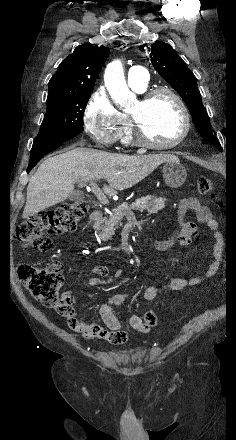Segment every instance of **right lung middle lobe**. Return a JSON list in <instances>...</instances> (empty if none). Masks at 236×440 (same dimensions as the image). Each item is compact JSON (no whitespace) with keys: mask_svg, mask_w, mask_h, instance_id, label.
Masks as SVG:
<instances>
[{"mask_svg":"<svg viewBox=\"0 0 236 440\" xmlns=\"http://www.w3.org/2000/svg\"><path fill=\"white\" fill-rule=\"evenodd\" d=\"M90 93L68 100L47 103V110L36 138L77 135L83 131V115Z\"/></svg>","mask_w":236,"mask_h":440,"instance_id":"dd1d6c3e","label":"right lung middle lobe"}]
</instances>
